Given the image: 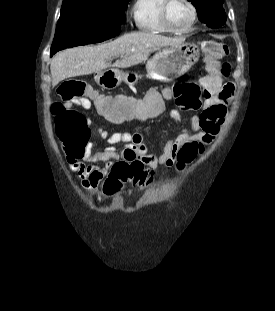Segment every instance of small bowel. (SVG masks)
<instances>
[{
	"instance_id": "c3829d8e",
	"label": "small bowel",
	"mask_w": 275,
	"mask_h": 311,
	"mask_svg": "<svg viewBox=\"0 0 275 311\" xmlns=\"http://www.w3.org/2000/svg\"><path fill=\"white\" fill-rule=\"evenodd\" d=\"M202 85L206 99L200 108V115L192 116L187 127L180 126L182 111L196 112V105H189L187 102L177 103V108L170 110L169 115L176 122L175 136L166 141L159 156L149 153L140 133L119 131L111 134L102 133L108 143L105 148L88 145L79 157H70L68 167L77 174L81 186L89 191H95L100 183L109 177L117 162L130 163L136 160L150 169L169 167L177 160L184 142L211 141L225 120L235 86L233 83H223L222 77L217 72L203 78ZM71 104L72 102H69L65 106L69 107ZM76 105L85 109L91 107V104ZM118 144L125 145L122 151L117 149Z\"/></svg>"
}]
</instances>
